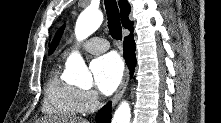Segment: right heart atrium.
<instances>
[{"label": "right heart atrium", "mask_w": 221, "mask_h": 123, "mask_svg": "<svg viewBox=\"0 0 221 123\" xmlns=\"http://www.w3.org/2000/svg\"><path fill=\"white\" fill-rule=\"evenodd\" d=\"M79 97L85 113L93 111L99 104V96L93 90H80Z\"/></svg>", "instance_id": "right-heart-atrium-1"}]
</instances>
